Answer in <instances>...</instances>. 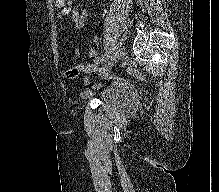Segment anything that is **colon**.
<instances>
[{"label": "colon", "instance_id": "5ec220e1", "mask_svg": "<svg viewBox=\"0 0 219 192\" xmlns=\"http://www.w3.org/2000/svg\"><path fill=\"white\" fill-rule=\"evenodd\" d=\"M56 2V5L57 6H60L64 3V0H55ZM79 73V69L76 68V67H73V68H70L68 71H67V75L70 76V77H74V76H77Z\"/></svg>", "mask_w": 219, "mask_h": 192}]
</instances>
